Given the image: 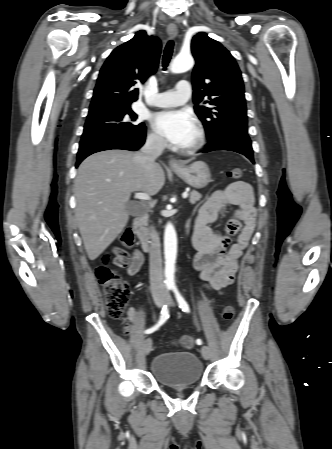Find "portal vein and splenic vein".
Segmentation results:
<instances>
[{
	"label": "portal vein and splenic vein",
	"instance_id": "portal-vein-and-splenic-vein-1",
	"mask_svg": "<svg viewBox=\"0 0 332 449\" xmlns=\"http://www.w3.org/2000/svg\"><path fill=\"white\" fill-rule=\"evenodd\" d=\"M182 197L184 199H186L188 197V193L184 192ZM135 198L142 199V200H147V201H149L151 199L150 196L148 194H146V193H137V194H135Z\"/></svg>",
	"mask_w": 332,
	"mask_h": 449
}]
</instances>
